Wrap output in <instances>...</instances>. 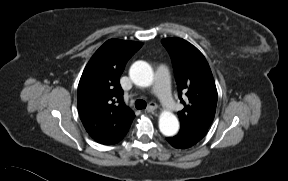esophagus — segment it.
<instances>
[{
  "label": "esophagus",
  "instance_id": "esophagus-1",
  "mask_svg": "<svg viewBox=\"0 0 288 181\" xmlns=\"http://www.w3.org/2000/svg\"><path fill=\"white\" fill-rule=\"evenodd\" d=\"M157 109V105L154 102L149 103L148 107L146 108L147 113H153Z\"/></svg>",
  "mask_w": 288,
  "mask_h": 181
}]
</instances>
